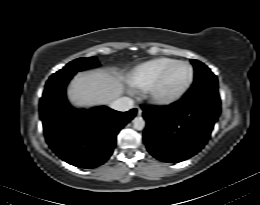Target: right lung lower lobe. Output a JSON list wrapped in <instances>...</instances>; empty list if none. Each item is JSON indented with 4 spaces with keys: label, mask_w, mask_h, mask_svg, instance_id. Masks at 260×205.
Wrapping results in <instances>:
<instances>
[{
    "label": "right lung lower lobe",
    "mask_w": 260,
    "mask_h": 205,
    "mask_svg": "<svg viewBox=\"0 0 260 205\" xmlns=\"http://www.w3.org/2000/svg\"><path fill=\"white\" fill-rule=\"evenodd\" d=\"M76 72L53 74L40 100V117L50 148L62 160L80 168H94L112 154L116 136L136 114L108 107L88 111L72 108L65 87Z\"/></svg>",
    "instance_id": "98d812e1"
}]
</instances>
